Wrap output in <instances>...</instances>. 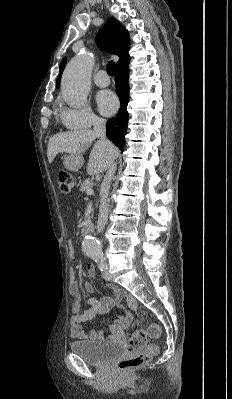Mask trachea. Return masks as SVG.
I'll return each instance as SVG.
<instances>
[{
    "instance_id": "obj_1",
    "label": "trachea",
    "mask_w": 232,
    "mask_h": 399,
    "mask_svg": "<svg viewBox=\"0 0 232 399\" xmlns=\"http://www.w3.org/2000/svg\"><path fill=\"white\" fill-rule=\"evenodd\" d=\"M107 73L111 76L114 75L115 72V63L113 62V60H111L110 62H108L107 67H106Z\"/></svg>"
}]
</instances>
